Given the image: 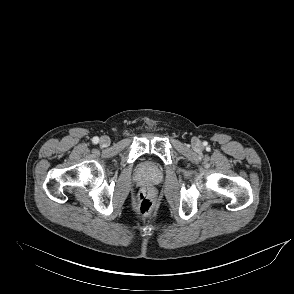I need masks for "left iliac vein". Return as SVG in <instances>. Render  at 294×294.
I'll return each mask as SVG.
<instances>
[{"mask_svg":"<svg viewBox=\"0 0 294 294\" xmlns=\"http://www.w3.org/2000/svg\"><path fill=\"white\" fill-rule=\"evenodd\" d=\"M195 148H199L200 147V143L199 142H195L194 143Z\"/></svg>","mask_w":294,"mask_h":294,"instance_id":"1","label":"left iliac vein"}]
</instances>
